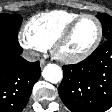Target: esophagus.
<instances>
[{
    "label": "esophagus",
    "instance_id": "34e87169",
    "mask_svg": "<svg viewBox=\"0 0 112 112\" xmlns=\"http://www.w3.org/2000/svg\"><path fill=\"white\" fill-rule=\"evenodd\" d=\"M45 64H46V61H45L44 59H41V60H40V67H41V68L44 67Z\"/></svg>",
    "mask_w": 112,
    "mask_h": 112
}]
</instances>
